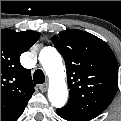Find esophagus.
Segmentation results:
<instances>
[{
	"label": "esophagus",
	"mask_w": 121,
	"mask_h": 121,
	"mask_svg": "<svg viewBox=\"0 0 121 121\" xmlns=\"http://www.w3.org/2000/svg\"><path fill=\"white\" fill-rule=\"evenodd\" d=\"M47 89H48V84H47V83H44V84H42V85L40 86V90H41L42 92H46Z\"/></svg>",
	"instance_id": "esophagus-1"
}]
</instances>
